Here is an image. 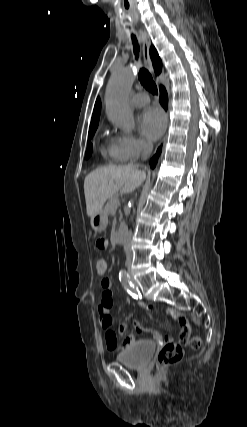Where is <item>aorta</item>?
<instances>
[{
    "instance_id": "762f6f07",
    "label": "aorta",
    "mask_w": 247,
    "mask_h": 427,
    "mask_svg": "<svg viewBox=\"0 0 247 427\" xmlns=\"http://www.w3.org/2000/svg\"><path fill=\"white\" fill-rule=\"evenodd\" d=\"M135 78L134 66L116 68L105 94L107 117L126 133H131L135 128L134 116L128 106V97Z\"/></svg>"
}]
</instances>
